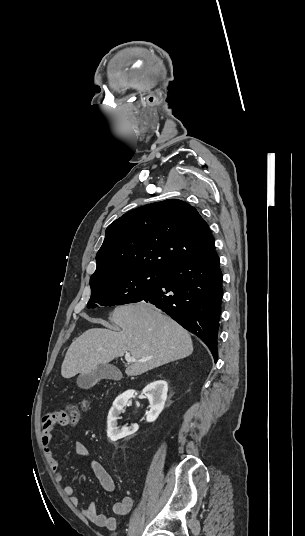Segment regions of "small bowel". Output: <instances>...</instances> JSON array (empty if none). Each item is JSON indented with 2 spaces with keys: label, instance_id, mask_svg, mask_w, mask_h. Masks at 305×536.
I'll return each mask as SVG.
<instances>
[{
  "label": "small bowel",
  "instance_id": "1",
  "mask_svg": "<svg viewBox=\"0 0 305 536\" xmlns=\"http://www.w3.org/2000/svg\"><path fill=\"white\" fill-rule=\"evenodd\" d=\"M42 418L43 419L38 422L40 427L39 433L41 437V445L49 467L55 474V480L58 483H62L64 476L59 471L58 460L51 449L52 434L50 431L51 427H61L62 425L67 427L69 422L67 421V418H65L64 411L61 408L56 409V411H44ZM74 448L76 453L89 463L91 470L99 480L103 489L107 492H113L116 488L115 482L103 465L97 460L90 459L88 449L82 442H76ZM63 490L64 494L70 499L74 506L80 505V498L74 494L73 486L66 485ZM132 506V498L125 496L113 504V512L117 516H124L131 511ZM82 513L88 520L98 527L106 528L108 530H116L118 527L117 519L113 516L99 513L96 510L94 503H90L87 507L83 508Z\"/></svg>",
  "mask_w": 305,
  "mask_h": 536
}]
</instances>
